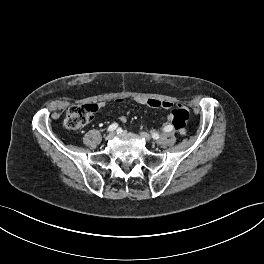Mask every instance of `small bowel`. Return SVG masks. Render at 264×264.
I'll return each mask as SVG.
<instances>
[{"label": "small bowel", "instance_id": "1", "mask_svg": "<svg viewBox=\"0 0 264 264\" xmlns=\"http://www.w3.org/2000/svg\"><path fill=\"white\" fill-rule=\"evenodd\" d=\"M136 101L139 104L146 105L153 108H162V109H169L173 106V104L169 101H160L157 99H151V98H137ZM98 107L103 106V103L96 104ZM120 120L122 122H126V117L121 116Z\"/></svg>", "mask_w": 264, "mask_h": 264}]
</instances>
